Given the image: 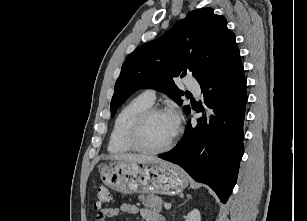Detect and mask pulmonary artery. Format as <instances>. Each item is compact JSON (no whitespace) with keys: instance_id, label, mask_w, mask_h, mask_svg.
Wrapping results in <instances>:
<instances>
[{"instance_id":"e3ab8cb5","label":"pulmonary artery","mask_w":307,"mask_h":221,"mask_svg":"<svg viewBox=\"0 0 307 221\" xmlns=\"http://www.w3.org/2000/svg\"><path fill=\"white\" fill-rule=\"evenodd\" d=\"M187 87L194 92L195 94L199 95L200 94V86L197 82L195 81H188L187 83ZM143 95L150 100L151 102H154L155 98H156V94L155 91L152 89H148L146 91H144Z\"/></svg>"}]
</instances>
